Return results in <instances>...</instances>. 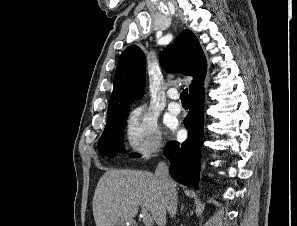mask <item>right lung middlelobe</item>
<instances>
[{"mask_svg":"<svg viewBox=\"0 0 297 226\" xmlns=\"http://www.w3.org/2000/svg\"><path fill=\"white\" fill-rule=\"evenodd\" d=\"M129 107L108 110L105 130L99 139L98 149L103 156L113 157L116 152H124L123 136Z\"/></svg>","mask_w":297,"mask_h":226,"instance_id":"1","label":"right lung middle lobe"}]
</instances>
